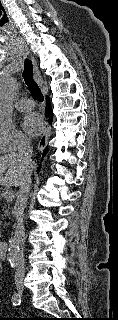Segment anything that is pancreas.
Returning a JSON list of instances; mask_svg holds the SVG:
<instances>
[{
	"label": "pancreas",
	"mask_w": 118,
	"mask_h": 320,
	"mask_svg": "<svg viewBox=\"0 0 118 320\" xmlns=\"http://www.w3.org/2000/svg\"><path fill=\"white\" fill-rule=\"evenodd\" d=\"M0 202H1V197H0ZM4 214H8V211H7V208H5L4 209ZM1 221H0V235H1V232H2V230H1Z\"/></svg>",
	"instance_id": "1"
}]
</instances>
